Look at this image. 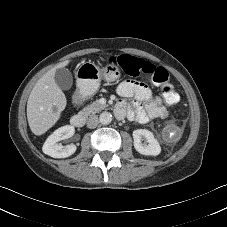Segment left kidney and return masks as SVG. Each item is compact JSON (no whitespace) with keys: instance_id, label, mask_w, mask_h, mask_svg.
Returning a JSON list of instances; mask_svg holds the SVG:
<instances>
[{"instance_id":"5707ae66","label":"left kidney","mask_w":227,"mask_h":227,"mask_svg":"<svg viewBox=\"0 0 227 227\" xmlns=\"http://www.w3.org/2000/svg\"><path fill=\"white\" fill-rule=\"evenodd\" d=\"M134 148L142 155L157 156L161 152V147L153 133L146 129H137L133 131ZM145 139L146 143H142Z\"/></svg>"}]
</instances>
